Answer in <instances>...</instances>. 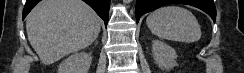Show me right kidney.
Masks as SVG:
<instances>
[{
	"label": "right kidney",
	"instance_id": "obj_1",
	"mask_svg": "<svg viewBox=\"0 0 244 73\" xmlns=\"http://www.w3.org/2000/svg\"><path fill=\"white\" fill-rule=\"evenodd\" d=\"M91 60L90 53H75L60 63L58 73H88Z\"/></svg>",
	"mask_w": 244,
	"mask_h": 73
}]
</instances>
